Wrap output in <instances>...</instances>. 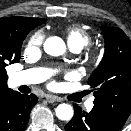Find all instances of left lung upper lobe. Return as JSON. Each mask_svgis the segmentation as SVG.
I'll return each instance as SVG.
<instances>
[{
  "label": "left lung upper lobe",
  "instance_id": "5c2ea615",
  "mask_svg": "<svg viewBox=\"0 0 131 131\" xmlns=\"http://www.w3.org/2000/svg\"><path fill=\"white\" fill-rule=\"evenodd\" d=\"M103 31L105 54L88 84L96 90L94 106L123 126L131 113V41L117 27Z\"/></svg>",
  "mask_w": 131,
  "mask_h": 131
}]
</instances>
